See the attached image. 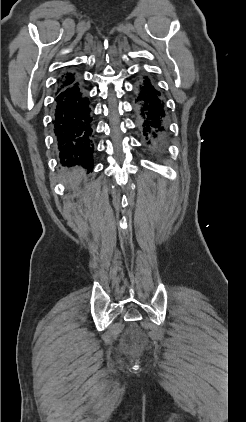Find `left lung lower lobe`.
Masks as SVG:
<instances>
[{
    "mask_svg": "<svg viewBox=\"0 0 246 422\" xmlns=\"http://www.w3.org/2000/svg\"><path fill=\"white\" fill-rule=\"evenodd\" d=\"M135 109L139 130L149 149L160 152L167 132V114L160 92L146 76L137 83Z\"/></svg>",
    "mask_w": 246,
    "mask_h": 422,
    "instance_id": "0a47b994",
    "label": "left lung lower lobe"
}]
</instances>
